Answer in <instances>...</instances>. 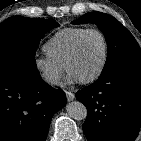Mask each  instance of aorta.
I'll list each match as a JSON object with an SVG mask.
<instances>
[{
    "label": "aorta",
    "instance_id": "762f6f07",
    "mask_svg": "<svg viewBox=\"0 0 141 141\" xmlns=\"http://www.w3.org/2000/svg\"><path fill=\"white\" fill-rule=\"evenodd\" d=\"M68 115L75 120H83L87 117V109L79 101H72L66 105Z\"/></svg>",
    "mask_w": 141,
    "mask_h": 141
}]
</instances>
